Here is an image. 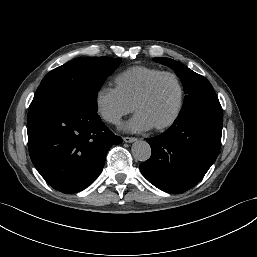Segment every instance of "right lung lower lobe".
<instances>
[{"mask_svg": "<svg viewBox=\"0 0 257 257\" xmlns=\"http://www.w3.org/2000/svg\"><path fill=\"white\" fill-rule=\"evenodd\" d=\"M27 133L34 166L63 193L88 187L102 172L110 147L122 142L97 112L67 102L30 107Z\"/></svg>", "mask_w": 257, "mask_h": 257, "instance_id": "1", "label": "right lung lower lobe"}]
</instances>
